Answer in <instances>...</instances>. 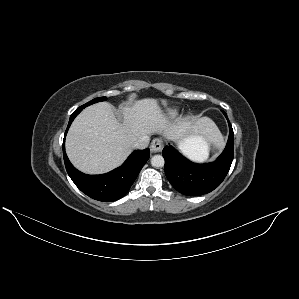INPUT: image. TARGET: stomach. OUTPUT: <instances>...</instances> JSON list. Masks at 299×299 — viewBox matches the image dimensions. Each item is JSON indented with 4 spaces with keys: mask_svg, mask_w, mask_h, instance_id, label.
Instances as JSON below:
<instances>
[{
    "mask_svg": "<svg viewBox=\"0 0 299 299\" xmlns=\"http://www.w3.org/2000/svg\"><path fill=\"white\" fill-rule=\"evenodd\" d=\"M206 145L207 142L205 138L198 134L186 137L179 143V147L186 154H196Z\"/></svg>",
    "mask_w": 299,
    "mask_h": 299,
    "instance_id": "0dacf381",
    "label": "stomach"
}]
</instances>
